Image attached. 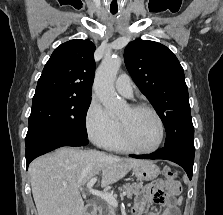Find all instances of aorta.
Listing matches in <instances>:
<instances>
[{
	"label": "aorta",
	"mask_w": 223,
	"mask_h": 215,
	"mask_svg": "<svg viewBox=\"0 0 223 215\" xmlns=\"http://www.w3.org/2000/svg\"><path fill=\"white\" fill-rule=\"evenodd\" d=\"M121 64L119 56H105L96 70L94 80V92L111 117H117L126 108L125 100L118 98L114 90V82Z\"/></svg>",
	"instance_id": "762f6f07"
}]
</instances>
